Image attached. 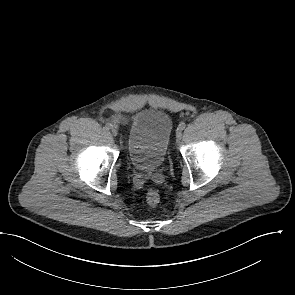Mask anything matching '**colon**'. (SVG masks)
<instances>
[{"mask_svg": "<svg viewBox=\"0 0 295 295\" xmlns=\"http://www.w3.org/2000/svg\"><path fill=\"white\" fill-rule=\"evenodd\" d=\"M146 201L151 206L157 205L160 201L159 193L156 190H149L146 194Z\"/></svg>", "mask_w": 295, "mask_h": 295, "instance_id": "5ec220e1", "label": "colon"}]
</instances>
